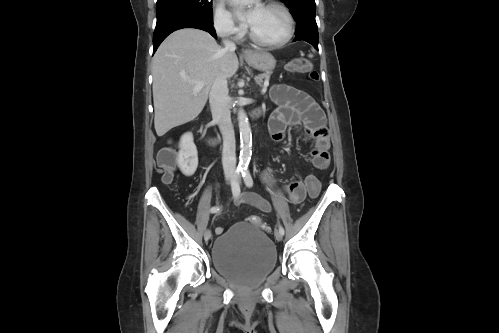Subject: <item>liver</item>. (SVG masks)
I'll return each mask as SVG.
<instances>
[{
  "label": "liver",
  "instance_id": "obj_1",
  "mask_svg": "<svg viewBox=\"0 0 499 333\" xmlns=\"http://www.w3.org/2000/svg\"><path fill=\"white\" fill-rule=\"evenodd\" d=\"M238 68L234 50L222 48L203 30L184 28L169 35L152 61L157 135L194 120L203 110L215 79L231 78ZM189 81L205 85L195 93V84Z\"/></svg>",
  "mask_w": 499,
  "mask_h": 333
}]
</instances>
